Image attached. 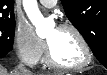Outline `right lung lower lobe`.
I'll list each match as a JSON object with an SVG mask.
<instances>
[{"label": "right lung lower lobe", "mask_w": 107, "mask_h": 75, "mask_svg": "<svg viewBox=\"0 0 107 75\" xmlns=\"http://www.w3.org/2000/svg\"><path fill=\"white\" fill-rule=\"evenodd\" d=\"M9 52L6 51H0V58L4 57L5 55H7Z\"/></svg>", "instance_id": "1"}]
</instances>
